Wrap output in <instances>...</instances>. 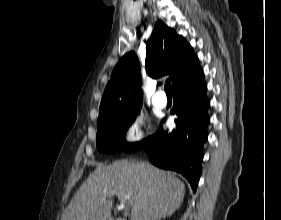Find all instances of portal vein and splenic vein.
<instances>
[{
	"mask_svg": "<svg viewBox=\"0 0 281 220\" xmlns=\"http://www.w3.org/2000/svg\"><path fill=\"white\" fill-rule=\"evenodd\" d=\"M105 193L111 194V195H117L120 199H122V201H124V203L126 202V204L131 203V196H129V195H125L118 191H110V192H105ZM123 207H125V205H123Z\"/></svg>",
	"mask_w": 281,
	"mask_h": 220,
	"instance_id": "1",
	"label": "portal vein and splenic vein"
}]
</instances>
